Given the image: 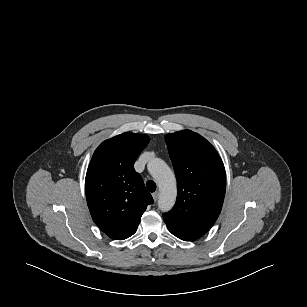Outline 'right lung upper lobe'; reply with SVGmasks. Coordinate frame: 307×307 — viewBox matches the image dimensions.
I'll list each match as a JSON object with an SVG mask.
<instances>
[{"instance_id": "right-lung-upper-lobe-1", "label": "right lung upper lobe", "mask_w": 307, "mask_h": 307, "mask_svg": "<svg viewBox=\"0 0 307 307\" xmlns=\"http://www.w3.org/2000/svg\"><path fill=\"white\" fill-rule=\"evenodd\" d=\"M143 134L126 132L101 143L89 164L85 192L91 216L110 238L132 236L153 203L134 163L149 143Z\"/></svg>"}]
</instances>
